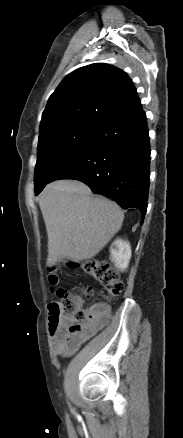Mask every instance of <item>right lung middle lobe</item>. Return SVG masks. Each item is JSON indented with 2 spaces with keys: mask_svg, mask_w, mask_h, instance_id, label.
I'll list each match as a JSON object with an SVG mask.
<instances>
[{
  "mask_svg": "<svg viewBox=\"0 0 183 438\" xmlns=\"http://www.w3.org/2000/svg\"><path fill=\"white\" fill-rule=\"evenodd\" d=\"M97 126L77 125L49 131L39 137L35 167V194L89 142Z\"/></svg>",
  "mask_w": 183,
  "mask_h": 438,
  "instance_id": "obj_1",
  "label": "right lung middle lobe"
}]
</instances>
